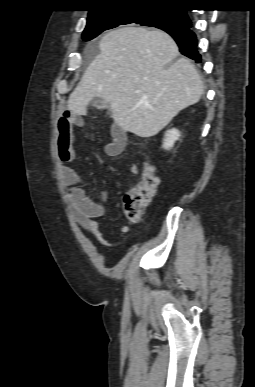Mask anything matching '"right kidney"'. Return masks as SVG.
<instances>
[{
	"label": "right kidney",
	"instance_id": "ca27d5eb",
	"mask_svg": "<svg viewBox=\"0 0 255 387\" xmlns=\"http://www.w3.org/2000/svg\"><path fill=\"white\" fill-rule=\"evenodd\" d=\"M179 137H180V132L177 129L173 128L168 130L165 133L162 147L165 150H170L173 147L175 141H177Z\"/></svg>",
	"mask_w": 255,
	"mask_h": 387
}]
</instances>
